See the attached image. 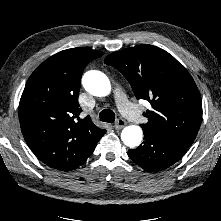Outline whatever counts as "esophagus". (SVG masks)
I'll list each match as a JSON object with an SVG mask.
<instances>
[{"label": "esophagus", "instance_id": "obj_1", "mask_svg": "<svg viewBox=\"0 0 221 221\" xmlns=\"http://www.w3.org/2000/svg\"><path fill=\"white\" fill-rule=\"evenodd\" d=\"M125 125H126V121L124 119H118L114 125V128L116 130H119V129H122L123 127H125Z\"/></svg>", "mask_w": 221, "mask_h": 221}]
</instances>
